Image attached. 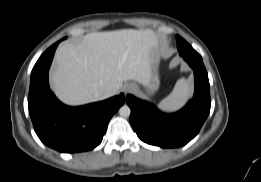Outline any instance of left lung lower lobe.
<instances>
[{
  "label": "left lung lower lobe",
  "instance_id": "0a47b994",
  "mask_svg": "<svg viewBox=\"0 0 261 182\" xmlns=\"http://www.w3.org/2000/svg\"><path fill=\"white\" fill-rule=\"evenodd\" d=\"M182 57L194 71L195 92L180 111L164 114L148 102L132 95L126 97L131 108L130 123L145 143L162 148L181 147L198 134L210 112L209 80L201 56Z\"/></svg>",
  "mask_w": 261,
  "mask_h": 182
}]
</instances>
